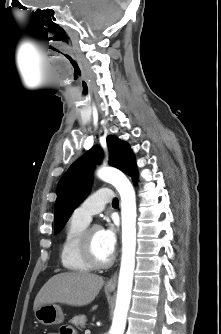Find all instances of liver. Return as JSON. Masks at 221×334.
I'll return each instance as SVG.
<instances>
[{
	"label": "liver",
	"mask_w": 221,
	"mask_h": 334,
	"mask_svg": "<svg viewBox=\"0 0 221 334\" xmlns=\"http://www.w3.org/2000/svg\"><path fill=\"white\" fill-rule=\"evenodd\" d=\"M103 284V277L87 272H65L54 275L38 292L33 310L52 303L88 305L98 295Z\"/></svg>",
	"instance_id": "liver-1"
}]
</instances>
